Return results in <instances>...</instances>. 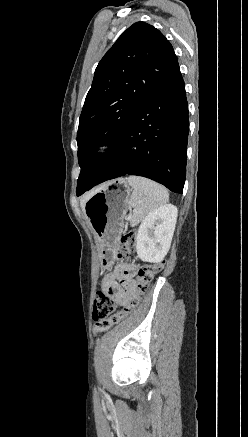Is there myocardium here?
<instances>
[{
    "mask_svg": "<svg viewBox=\"0 0 248 437\" xmlns=\"http://www.w3.org/2000/svg\"><path fill=\"white\" fill-rule=\"evenodd\" d=\"M112 149L109 142H100L96 144L92 150V157L94 159H101L105 157Z\"/></svg>",
    "mask_w": 248,
    "mask_h": 437,
    "instance_id": "1",
    "label": "myocardium"
}]
</instances>
